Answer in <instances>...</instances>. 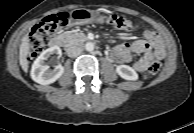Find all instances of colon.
Returning <instances> with one entry per match:
<instances>
[{"mask_svg":"<svg viewBox=\"0 0 194 133\" xmlns=\"http://www.w3.org/2000/svg\"><path fill=\"white\" fill-rule=\"evenodd\" d=\"M108 22L118 29L131 30L133 22L124 15L110 14ZM68 15L59 13L46 17L41 23L37 24L29 37V58L37 56L52 39V37L67 23ZM160 70V63H151L145 74V78H151Z\"/></svg>","mask_w":194,"mask_h":133,"instance_id":"5ec220e1","label":"colon"}]
</instances>
